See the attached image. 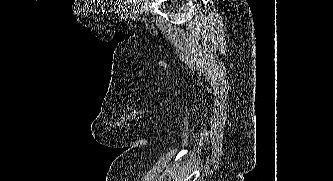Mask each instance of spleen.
<instances>
[{"instance_id":"obj_1","label":"spleen","mask_w":333,"mask_h":181,"mask_svg":"<svg viewBox=\"0 0 333 181\" xmlns=\"http://www.w3.org/2000/svg\"><path fill=\"white\" fill-rule=\"evenodd\" d=\"M189 172L188 166L184 165L183 166V174H187Z\"/></svg>"}]
</instances>
